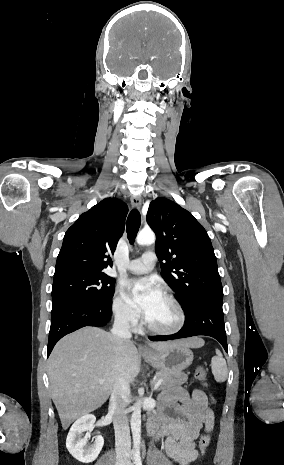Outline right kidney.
<instances>
[{
    "label": "right kidney",
    "mask_w": 284,
    "mask_h": 465,
    "mask_svg": "<svg viewBox=\"0 0 284 465\" xmlns=\"http://www.w3.org/2000/svg\"><path fill=\"white\" fill-rule=\"evenodd\" d=\"M96 417L84 415L72 425L66 439V447L74 459L80 463H92L97 459L103 445L104 439L101 435L96 437L93 445H87L89 437H83L84 431H93Z\"/></svg>",
    "instance_id": "ca27d5eb"
}]
</instances>
